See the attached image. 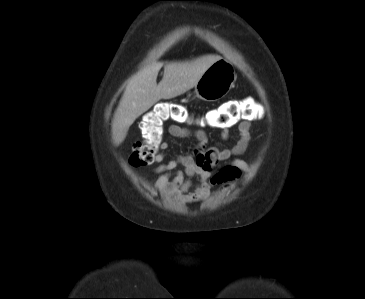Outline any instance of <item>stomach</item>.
<instances>
[{
    "instance_id": "stomach-1",
    "label": "stomach",
    "mask_w": 365,
    "mask_h": 299,
    "mask_svg": "<svg viewBox=\"0 0 365 299\" xmlns=\"http://www.w3.org/2000/svg\"><path fill=\"white\" fill-rule=\"evenodd\" d=\"M237 75L233 65L225 59H218L202 74L194 86L195 97L214 102L225 95L234 87Z\"/></svg>"
}]
</instances>
